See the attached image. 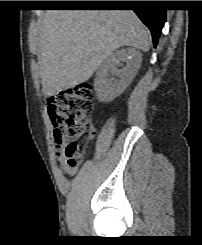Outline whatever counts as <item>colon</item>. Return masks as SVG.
<instances>
[{"label": "colon", "instance_id": "1", "mask_svg": "<svg viewBox=\"0 0 202 245\" xmlns=\"http://www.w3.org/2000/svg\"><path fill=\"white\" fill-rule=\"evenodd\" d=\"M93 96L90 85L80 84L63 89L55 100L54 138L56 142H66L63 154L71 167H76L82 160L91 136Z\"/></svg>", "mask_w": 202, "mask_h": 245}]
</instances>
